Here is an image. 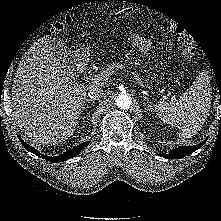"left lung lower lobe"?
I'll list each match as a JSON object with an SVG mask.
<instances>
[{
  "label": "left lung lower lobe",
  "instance_id": "0a47b994",
  "mask_svg": "<svg viewBox=\"0 0 221 221\" xmlns=\"http://www.w3.org/2000/svg\"><path fill=\"white\" fill-rule=\"evenodd\" d=\"M206 140L198 145H195V146H182L179 148H175L169 154H165V155H161V156H163L164 158H168V159L182 158V157L198 150L199 148H201L203 146V144L206 142Z\"/></svg>",
  "mask_w": 221,
  "mask_h": 221
}]
</instances>
